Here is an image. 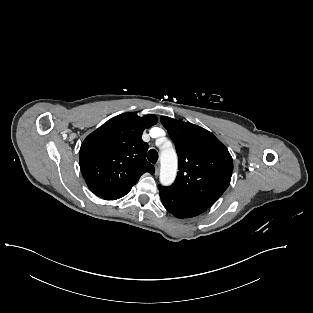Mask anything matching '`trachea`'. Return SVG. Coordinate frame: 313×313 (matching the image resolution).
I'll use <instances>...</instances> for the list:
<instances>
[{"label": "trachea", "instance_id": "obj_1", "mask_svg": "<svg viewBox=\"0 0 313 313\" xmlns=\"http://www.w3.org/2000/svg\"><path fill=\"white\" fill-rule=\"evenodd\" d=\"M147 159L155 164L158 160V152L155 149H150L148 154H147Z\"/></svg>", "mask_w": 313, "mask_h": 313}]
</instances>
